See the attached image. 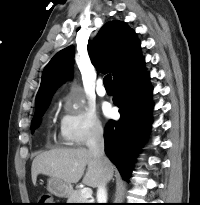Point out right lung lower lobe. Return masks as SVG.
<instances>
[{"label": "right lung lower lobe", "instance_id": "obj_1", "mask_svg": "<svg viewBox=\"0 0 200 205\" xmlns=\"http://www.w3.org/2000/svg\"><path fill=\"white\" fill-rule=\"evenodd\" d=\"M144 64L143 59L114 82L113 102L120 108L121 117L118 121L110 120L104 130L105 153L126 181L151 122L152 87Z\"/></svg>", "mask_w": 200, "mask_h": 205}]
</instances>
